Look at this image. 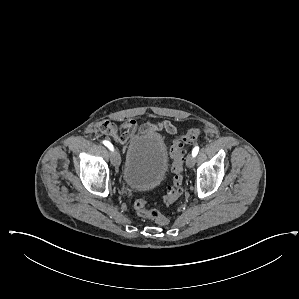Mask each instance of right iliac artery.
Instances as JSON below:
<instances>
[{"label": "right iliac artery", "mask_w": 299, "mask_h": 299, "mask_svg": "<svg viewBox=\"0 0 299 299\" xmlns=\"http://www.w3.org/2000/svg\"><path fill=\"white\" fill-rule=\"evenodd\" d=\"M103 144H104L106 147H108L111 151L114 150L113 145H112L109 141L104 140V141H103Z\"/></svg>", "instance_id": "obj_1"}]
</instances>
